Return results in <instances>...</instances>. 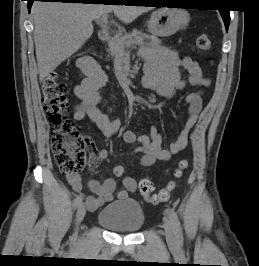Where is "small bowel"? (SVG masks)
I'll return each mask as SVG.
<instances>
[{
  "instance_id": "1",
  "label": "small bowel",
  "mask_w": 259,
  "mask_h": 266,
  "mask_svg": "<svg viewBox=\"0 0 259 266\" xmlns=\"http://www.w3.org/2000/svg\"><path fill=\"white\" fill-rule=\"evenodd\" d=\"M141 55L144 59L142 86L153 91L159 97L170 99L177 91L183 90L187 86L208 87L211 83L210 79L204 76L197 61L190 57L180 58L176 52L166 47L144 50ZM82 62L83 60L79 66L84 78L82 83L75 88L80 103L75 106L73 117L77 121L88 119L108 140L120 131L121 122L118 119L110 120L107 112L99 107L102 100L101 89L106 83V75L94 63L91 72L86 74L81 67ZM181 69L188 71L189 76L186 79L181 77ZM185 102L188 106L186 123L169 149L163 147V136L155 126L150 128L149 135H136L133 131H126L123 134V139L127 143L136 141L139 143L134 152L140 156L142 166H151L157 160L167 161L172 155L185 149L189 133L203 108L202 92L199 90L189 93ZM108 154L109 151L106 148L91 147V168H96L102 160L107 158ZM67 180L75 192H82L83 185L79 174L68 175ZM88 187L92 195L86 197L85 203L88 210L95 211L105 202L111 201L114 195L120 200L126 199L130 192L136 190V182L134 179L126 177L122 187L116 190V183L112 178H107L103 182L92 179L88 182Z\"/></svg>"
}]
</instances>
